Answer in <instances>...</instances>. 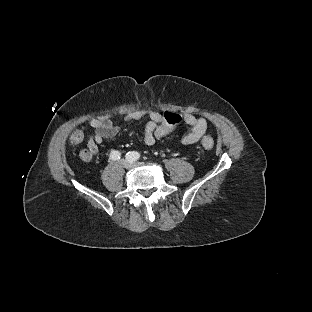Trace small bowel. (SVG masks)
<instances>
[{
	"mask_svg": "<svg viewBox=\"0 0 312 312\" xmlns=\"http://www.w3.org/2000/svg\"><path fill=\"white\" fill-rule=\"evenodd\" d=\"M184 123L190 127V131L182 138L185 145H193L201 140L208 129V121L204 117H197L190 112H184ZM147 118L148 122L144 130V142L152 146L156 143L150 135V127L156 121H163V114L156 109L132 110L125 114V120L135 121ZM93 129L90 135L88 145L80 152V158L83 162H90L98 153L101 142L105 139L112 138L119 132V127L115 125L109 116H99L92 118L88 122Z\"/></svg>",
	"mask_w": 312,
	"mask_h": 312,
	"instance_id": "small-bowel-1",
	"label": "small bowel"
}]
</instances>
